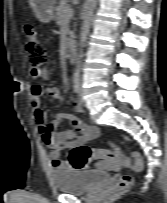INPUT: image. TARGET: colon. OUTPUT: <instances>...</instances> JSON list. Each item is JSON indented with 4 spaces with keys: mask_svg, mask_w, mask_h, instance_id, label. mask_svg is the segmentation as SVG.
<instances>
[{
    "mask_svg": "<svg viewBox=\"0 0 167 203\" xmlns=\"http://www.w3.org/2000/svg\"><path fill=\"white\" fill-rule=\"evenodd\" d=\"M25 48L27 53V60L31 71L38 72L44 68L47 61L46 48L40 43L36 29L33 25L27 24L25 26ZM95 155L107 156L124 167H131L134 171H140L143 167L141 157L135 153L132 157L123 154L121 151L92 149L85 145H78L69 151L68 162L74 169H83L88 161ZM133 178L129 174L122 175L118 181L109 187L110 192L123 191L131 187Z\"/></svg>",
    "mask_w": 167,
    "mask_h": 203,
    "instance_id": "5ec220e1",
    "label": "colon"
}]
</instances>
